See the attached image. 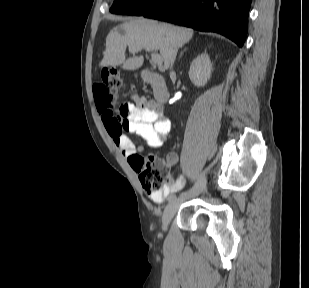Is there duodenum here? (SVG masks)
I'll list each match as a JSON object with an SVG mask.
<instances>
[{
  "instance_id": "duodenum-1",
  "label": "duodenum",
  "mask_w": 309,
  "mask_h": 288,
  "mask_svg": "<svg viewBox=\"0 0 309 288\" xmlns=\"http://www.w3.org/2000/svg\"><path fill=\"white\" fill-rule=\"evenodd\" d=\"M145 82L151 85L156 101L163 105L169 98V91L164 81V78L152 71L145 70L143 72Z\"/></svg>"
}]
</instances>
